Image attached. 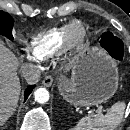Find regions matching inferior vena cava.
Listing matches in <instances>:
<instances>
[{
	"label": "inferior vena cava",
	"instance_id": "1",
	"mask_svg": "<svg viewBox=\"0 0 130 130\" xmlns=\"http://www.w3.org/2000/svg\"><path fill=\"white\" fill-rule=\"evenodd\" d=\"M20 71L29 84H36L40 80L41 71L35 64L23 63Z\"/></svg>",
	"mask_w": 130,
	"mask_h": 130
}]
</instances>
